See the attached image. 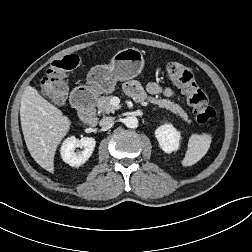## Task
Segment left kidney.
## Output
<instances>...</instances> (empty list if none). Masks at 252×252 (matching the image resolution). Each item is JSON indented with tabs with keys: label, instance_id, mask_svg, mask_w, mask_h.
Returning a JSON list of instances; mask_svg holds the SVG:
<instances>
[{
	"label": "left kidney",
	"instance_id": "1",
	"mask_svg": "<svg viewBox=\"0 0 252 252\" xmlns=\"http://www.w3.org/2000/svg\"><path fill=\"white\" fill-rule=\"evenodd\" d=\"M155 137L157 138L160 148L166 152L171 153L179 149L180 133L171 125L165 124L155 130Z\"/></svg>",
	"mask_w": 252,
	"mask_h": 252
}]
</instances>
